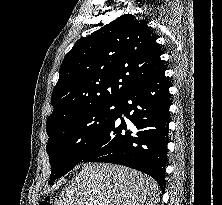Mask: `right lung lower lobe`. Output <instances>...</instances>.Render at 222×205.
I'll return each mask as SVG.
<instances>
[{"label": "right lung lower lobe", "instance_id": "right-lung-lower-lobe-1", "mask_svg": "<svg viewBox=\"0 0 222 205\" xmlns=\"http://www.w3.org/2000/svg\"><path fill=\"white\" fill-rule=\"evenodd\" d=\"M165 70L126 92L113 120L92 141L82 161L140 170L152 176L164 191L170 121V86Z\"/></svg>", "mask_w": 222, "mask_h": 205}]
</instances>
